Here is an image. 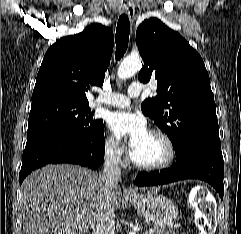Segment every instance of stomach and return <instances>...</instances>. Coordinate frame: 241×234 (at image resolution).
<instances>
[{"label":"stomach","mask_w":241,"mask_h":234,"mask_svg":"<svg viewBox=\"0 0 241 234\" xmlns=\"http://www.w3.org/2000/svg\"><path fill=\"white\" fill-rule=\"evenodd\" d=\"M129 201L155 228L166 229L173 226L178 216L176 204L155 191L128 196Z\"/></svg>","instance_id":"0dacf381"}]
</instances>
